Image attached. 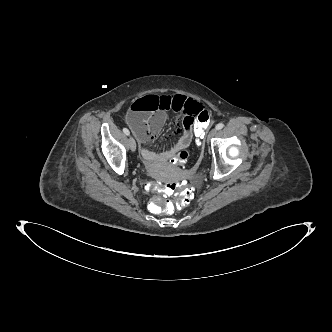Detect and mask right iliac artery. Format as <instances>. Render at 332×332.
Masks as SVG:
<instances>
[{
	"label": "right iliac artery",
	"mask_w": 332,
	"mask_h": 332,
	"mask_svg": "<svg viewBox=\"0 0 332 332\" xmlns=\"http://www.w3.org/2000/svg\"><path fill=\"white\" fill-rule=\"evenodd\" d=\"M123 132L127 136L130 134V132H129V130L127 128H123Z\"/></svg>",
	"instance_id": "82829eb1"
}]
</instances>
